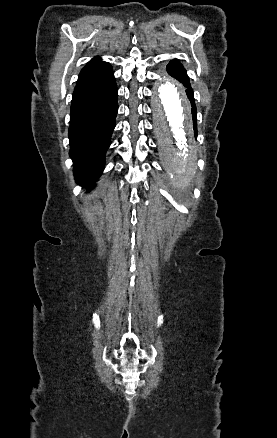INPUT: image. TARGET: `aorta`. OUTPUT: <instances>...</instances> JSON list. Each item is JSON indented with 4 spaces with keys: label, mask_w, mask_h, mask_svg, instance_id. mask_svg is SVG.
<instances>
[{
    "label": "aorta",
    "mask_w": 277,
    "mask_h": 438,
    "mask_svg": "<svg viewBox=\"0 0 277 438\" xmlns=\"http://www.w3.org/2000/svg\"><path fill=\"white\" fill-rule=\"evenodd\" d=\"M155 128L161 154L173 184L187 188L195 177L196 155L192 151V120L188 101L166 76L154 86Z\"/></svg>",
    "instance_id": "762f6f07"
}]
</instances>
